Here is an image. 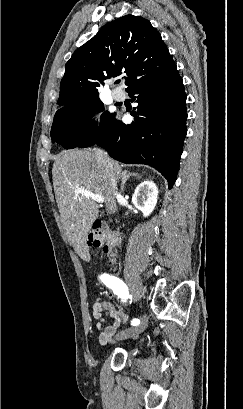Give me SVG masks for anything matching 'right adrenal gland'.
Returning a JSON list of instances; mask_svg holds the SVG:
<instances>
[{
    "label": "right adrenal gland",
    "mask_w": 243,
    "mask_h": 409,
    "mask_svg": "<svg viewBox=\"0 0 243 409\" xmlns=\"http://www.w3.org/2000/svg\"><path fill=\"white\" fill-rule=\"evenodd\" d=\"M132 176L139 177V174L138 173H130V174H127V175L123 176L122 184H121V191L122 192H124V188H125V184H126L127 180H129V178L132 177Z\"/></svg>",
    "instance_id": "2a0ac1e0"
}]
</instances>
